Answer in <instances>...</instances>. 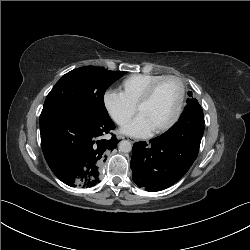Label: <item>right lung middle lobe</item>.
Returning a JSON list of instances; mask_svg holds the SVG:
<instances>
[{
	"instance_id": "dd1d6c3e",
	"label": "right lung middle lobe",
	"mask_w": 250,
	"mask_h": 250,
	"mask_svg": "<svg viewBox=\"0 0 250 250\" xmlns=\"http://www.w3.org/2000/svg\"><path fill=\"white\" fill-rule=\"evenodd\" d=\"M126 72L85 66L63 75L47 95L40 123L63 115L104 116V93Z\"/></svg>"
}]
</instances>
